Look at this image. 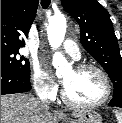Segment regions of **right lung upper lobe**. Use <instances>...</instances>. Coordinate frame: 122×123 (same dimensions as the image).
Instances as JSON below:
<instances>
[{"mask_svg": "<svg viewBox=\"0 0 122 123\" xmlns=\"http://www.w3.org/2000/svg\"><path fill=\"white\" fill-rule=\"evenodd\" d=\"M39 0H1V50L25 46Z\"/></svg>", "mask_w": 122, "mask_h": 123, "instance_id": "right-lung-upper-lobe-1", "label": "right lung upper lobe"}]
</instances>
